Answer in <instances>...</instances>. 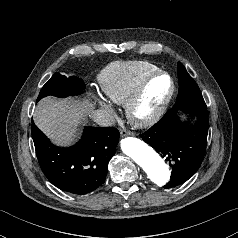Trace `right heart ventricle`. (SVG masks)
<instances>
[{
	"label": "right heart ventricle",
	"mask_w": 238,
	"mask_h": 238,
	"mask_svg": "<svg viewBox=\"0 0 238 238\" xmlns=\"http://www.w3.org/2000/svg\"><path fill=\"white\" fill-rule=\"evenodd\" d=\"M158 70L156 65L147 61H117L101 70L97 79L108 100L123 105L138 85Z\"/></svg>",
	"instance_id": "right-heart-ventricle-1"
}]
</instances>
